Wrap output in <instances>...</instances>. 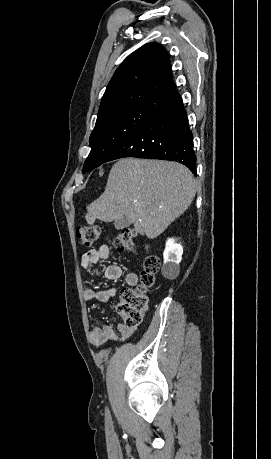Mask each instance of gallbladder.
<instances>
[{
  "mask_svg": "<svg viewBox=\"0 0 271 459\" xmlns=\"http://www.w3.org/2000/svg\"><path fill=\"white\" fill-rule=\"evenodd\" d=\"M130 224H132V222L128 220V218H119V220H115L114 222L116 229L129 228Z\"/></svg>",
  "mask_w": 271,
  "mask_h": 459,
  "instance_id": "1",
  "label": "gallbladder"
}]
</instances>
